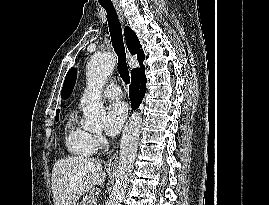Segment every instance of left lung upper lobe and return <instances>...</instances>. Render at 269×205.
<instances>
[{"label":"left lung upper lobe","mask_w":269,"mask_h":205,"mask_svg":"<svg viewBox=\"0 0 269 205\" xmlns=\"http://www.w3.org/2000/svg\"><path fill=\"white\" fill-rule=\"evenodd\" d=\"M76 77L77 70L75 68H71L65 77V81L61 91V97L63 99H67L70 96L76 82Z\"/></svg>","instance_id":"5c2ea615"}]
</instances>
